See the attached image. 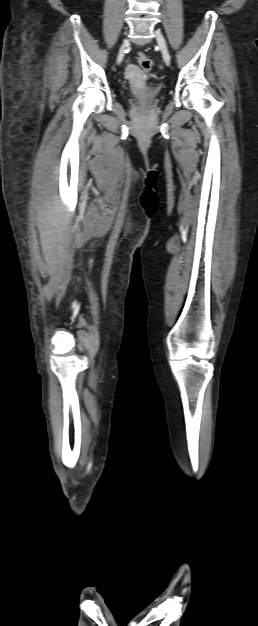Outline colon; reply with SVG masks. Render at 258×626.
<instances>
[{
	"label": "colon",
	"mask_w": 258,
	"mask_h": 626,
	"mask_svg": "<svg viewBox=\"0 0 258 626\" xmlns=\"http://www.w3.org/2000/svg\"><path fill=\"white\" fill-rule=\"evenodd\" d=\"M138 62L145 70H150L153 67L152 60L144 53L138 54Z\"/></svg>",
	"instance_id": "5ec220e1"
}]
</instances>
